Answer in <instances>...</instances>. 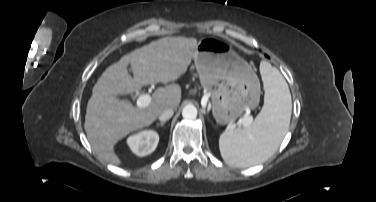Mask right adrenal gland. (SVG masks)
Masks as SVG:
<instances>
[{
	"label": "right adrenal gland",
	"mask_w": 376,
	"mask_h": 202,
	"mask_svg": "<svg viewBox=\"0 0 376 202\" xmlns=\"http://www.w3.org/2000/svg\"><path fill=\"white\" fill-rule=\"evenodd\" d=\"M164 124H165V122H160V123H158L157 125L159 126H164Z\"/></svg>",
	"instance_id": "right-adrenal-gland-1"
}]
</instances>
